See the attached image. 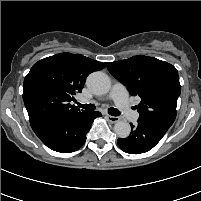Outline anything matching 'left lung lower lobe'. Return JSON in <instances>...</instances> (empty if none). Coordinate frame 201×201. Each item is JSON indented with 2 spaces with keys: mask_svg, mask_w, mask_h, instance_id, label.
I'll return each mask as SVG.
<instances>
[{
  "mask_svg": "<svg viewBox=\"0 0 201 201\" xmlns=\"http://www.w3.org/2000/svg\"><path fill=\"white\" fill-rule=\"evenodd\" d=\"M131 124V134L125 139L119 138V147L129 154H140L151 150L164 136L171 125L158 121H137Z\"/></svg>",
  "mask_w": 201,
  "mask_h": 201,
  "instance_id": "left-lung-lower-lobe-1",
  "label": "left lung lower lobe"
}]
</instances>
